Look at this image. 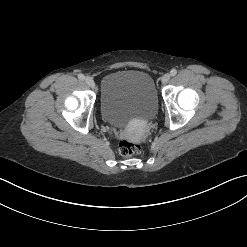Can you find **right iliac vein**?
<instances>
[{
  "label": "right iliac vein",
  "instance_id": "63e3f726",
  "mask_svg": "<svg viewBox=\"0 0 247 247\" xmlns=\"http://www.w3.org/2000/svg\"><path fill=\"white\" fill-rule=\"evenodd\" d=\"M85 82H86V84L89 86V87H91V88H94V86H95V83H94V80L91 78V77H86L85 78Z\"/></svg>",
  "mask_w": 247,
  "mask_h": 247
}]
</instances>
